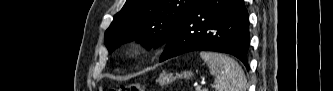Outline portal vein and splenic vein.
<instances>
[{"mask_svg":"<svg viewBox=\"0 0 333 91\" xmlns=\"http://www.w3.org/2000/svg\"><path fill=\"white\" fill-rule=\"evenodd\" d=\"M201 88V85L196 86V90H199Z\"/></svg>","mask_w":333,"mask_h":91,"instance_id":"portal-vein-and-splenic-vein-1","label":"portal vein and splenic vein"}]
</instances>
